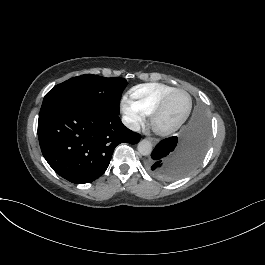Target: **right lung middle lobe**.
<instances>
[{"label":"right lung middle lobe","instance_id":"right-lung-middle-lobe-1","mask_svg":"<svg viewBox=\"0 0 265 265\" xmlns=\"http://www.w3.org/2000/svg\"><path fill=\"white\" fill-rule=\"evenodd\" d=\"M124 78L92 74L71 78L53 87L44 97L40 113L60 104H75L106 116H118Z\"/></svg>","mask_w":265,"mask_h":265}]
</instances>
